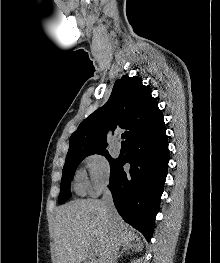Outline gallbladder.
<instances>
[{
    "label": "gallbladder",
    "mask_w": 220,
    "mask_h": 263,
    "mask_svg": "<svg viewBox=\"0 0 220 263\" xmlns=\"http://www.w3.org/2000/svg\"><path fill=\"white\" fill-rule=\"evenodd\" d=\"M84 263H90V261L88 260V261H85Z\"/></svg>",
    "instance_id": "obj_1"
}]
</instances>
